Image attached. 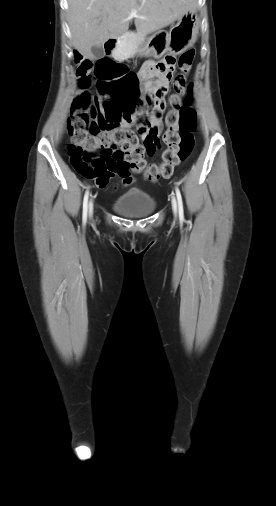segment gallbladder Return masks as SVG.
<instances>
[{
  "label": "gallbladder",
  "mask_w": 276,
  "mask_h": 506,
  "mask_svg": "<svg viewBox=\"0 0 276 506\" xmlns=\"http://www.w3.org/2000/svg\"><path fill=\"white\" fill-rule=\"evenodd\" d=\"M92 54L94 55V58L100 59L104 56V51L101 46H93L91 48Z\"/></svg>",
  "instance_id": "gallbladder-1"
}]
</instances>
